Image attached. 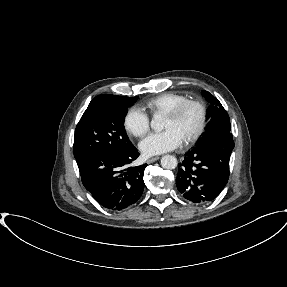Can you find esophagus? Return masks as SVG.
I'll list each match as a JSON object with an SVG mask.
<instances>
[{"label":"esophagus","mask_w":287,"mask_h":287,"mask_svg":"<svg viewBox=\"0 0 287 287\" xmlns=\"http://www.w3.org/2000/svg\"><path fill=\"white\" fill-rule=\"evenodd\" d=\"M159 159H160V156L151 157L147 160V163L150 164V163H153Z\"/></svg>","instance_id":"esophagus-1"}]
</instances>
